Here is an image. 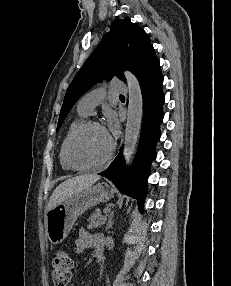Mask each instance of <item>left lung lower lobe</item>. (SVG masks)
<instances>
[{
    "label": "left lung lower lobe",
    "mask_w": 231,
    "mask_h": 286,
    "mask_svg": "<svg viewBox=\"0 0 231 286\" xmlns=\"http://www.w3.org/2000/svg\"><path fill=\"white\" fill-rule=\"evenodd\" d=\"M137 78L143 95V123L136 160L130 170H125L120 152L106 171L99 175L111 180L122 193L137 199L138 207L142 210L150 164L156 156L155 145L163 119V76L158 58L145 67Z\"/></svg>",
    "instance_id": "1"
}]
</instances>
